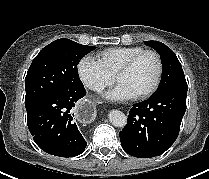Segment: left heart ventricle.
<instances>
[{
    "label": "left heart ventricle",
    "mask_w": 209,
    "mask_h": 179,
    "mask_svg": "<svg viewBox=\"0 0 209 179\" xmlns=\"http://www.w3.org/2000/svg\"><path fill=\"white\" fill-rule=\"evenodd\" d=\"M157 74V61L153 55L142 56L133 67L121 75L117 83L124 86L133 96L148 89Z\"/></svg>",
    "instance_id": "1"
}]
</instances>
